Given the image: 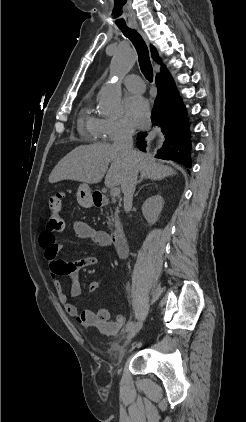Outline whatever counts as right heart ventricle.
<instances>
[{"mask_svg":"<svg viewBox=\"0 0 246 422\" xmlns=\"http://www.w3.org/2000/svg\"><path fill=\"white\" fill-rule=\"evenodd\" d=\"M100 122L101 118L93 112L89 103H87L80 112L78 129L83 135L97 139L100 138Z\"/></svg>","mask_w":246,"mask_h":422,"instance_id":"obj_1","label":"right heart ventricle"}]
</instances>
